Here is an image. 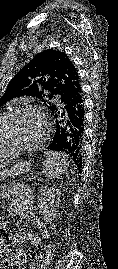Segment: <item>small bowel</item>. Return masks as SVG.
<instances>
[{"label": "small bowel", "instance_id": "small-bowel-1", "mask_svg": "<svg viewBox=\"0 0 118 269\" xmlns=\"http://www.w3.org/2000/svg\"><path fill=\"white\" fill-rule=\"evenodd\" d=\"M7 188L4 187L3 191L6 194ZM17 200H12L7 208L8 216L14 217L17 215H26L31 223L35 227V231L26 230L16 233H10L11 243L16 246L22 244L25 241L31 242V244L36 248H41L43 252L46 251L45 239L46 235L42 233L44 225L40 220L31 215L33 194L28 191L24 194L16 195ZM4 225V224H3ZM0 256L4 257L2 267L22 266L24 263L28 262L27 252L24 250H17L12 252L11 249L6 245L5 241H0Z\"/></svg>", "mask_w": 118, "mask_h": 269}]
</instances>
